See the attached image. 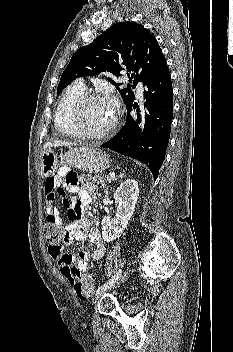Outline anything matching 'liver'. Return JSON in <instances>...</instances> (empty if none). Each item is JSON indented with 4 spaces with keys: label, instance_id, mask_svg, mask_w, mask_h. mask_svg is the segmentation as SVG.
Masks as SVG:
<instances>
[{
    "label": "liver",
    "instance_id": "1",
    "mask_svg": "<svg viewBox=\"0 0 233 352\" xmlns=\"http://www.w3.org/2000/svg\"><path fill=\"white\" fill-rule=\"evenodd\" d=\"M73 143L67 142V141H62V140H55L53 142H47L44 146L43 149L44 151L46 149H49L51 147H58V146H72Z\"/></svg>",
    "mask_w": 233,
    "mask_h": 352
}]
</instances>
